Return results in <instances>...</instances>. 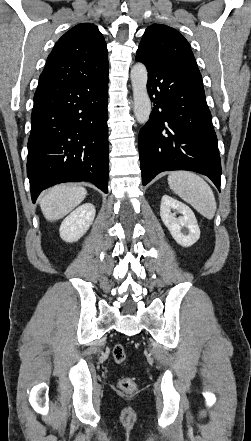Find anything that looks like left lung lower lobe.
Masks as SVG:
<instances>
[{
	"instance_id": "0a47b994",
	"label": "left lung lower lobe",
	"mask_w": 251,
	"mask_h": 441,
	"mask_svg": "<svg viewBox=\"0 0 251 441\" xmlns=\"http://www.w3.org/2000/svg\"><path fill=\"white\" fill-rule=\"evenodd\" d=\"M136 60L147 67L153 103L139 133L143 185L163 171L189 170L208 176L220 190L221 160L201 75Z\"/></svg>"
}]
</instances>
